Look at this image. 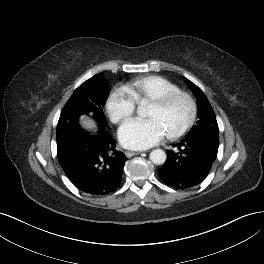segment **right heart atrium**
I'll use <instances>...</instances> for the list:
<instances>
[{"label": "right heart atrium", "mask_w": 264, "mask_h": 264, "mask_svg": "<svg viewBox=\"0 0 264 264\" xmlns=\"http://www.w3.org/2000/svg\"><path fill=\"white\" fill-rule=\"evenodd\" d=\"M136 102L126 87L116 88L107 98L106 110L114 123L124 122L134 113Z\"/></svg>", "instance_id": "1"}]
</instances>
